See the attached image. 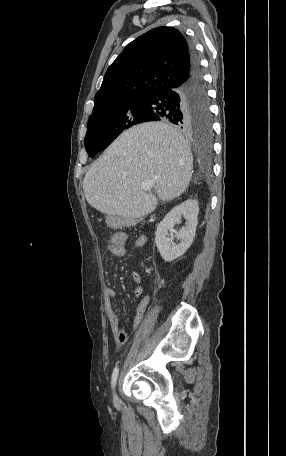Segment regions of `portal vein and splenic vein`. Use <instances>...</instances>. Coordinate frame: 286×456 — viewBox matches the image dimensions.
<instances>
[{"instance_id":"obj_1","label":"portal vein and splenic vein","mask_w":286,"mask_h":456,"mask_svg":"<svg viewBox=\"0 0 286 456\" xmlns=\"http://www.w3.org/2000/svg\"><path fill=\"white\" fill-rule=\"evenodd\" d=\"M154 187V183L152 181H144L142 183V189L144 191H150Z\"/></svg>"}]
</instances>
